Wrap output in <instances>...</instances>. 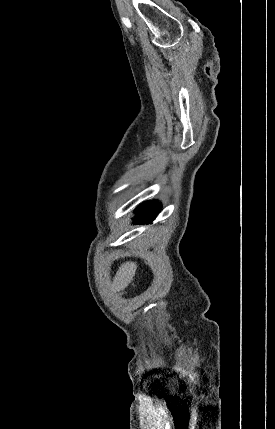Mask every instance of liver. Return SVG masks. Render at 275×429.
I'll return each instance as SVG.
<instances>
[{
    "label": "liver",
    "instance_id": "obj_1",
    "mask_svg": "<svg viewBox=\"0 0 275 429\" xmlns=\"http://www.w3.org/2000/svg\"><path fill=\"white\" fill-rule=\"evenodd\" d=\"M136 268H137L136 263H133V262L123 263L119 267V270L117 271L113 279V282H112L113 287L117 291L124 290L133 279Z\"/></svg>",
    "mask_w": 275,
    "mask_h": 429
}]
</instances>
